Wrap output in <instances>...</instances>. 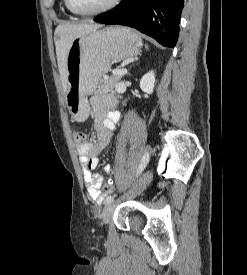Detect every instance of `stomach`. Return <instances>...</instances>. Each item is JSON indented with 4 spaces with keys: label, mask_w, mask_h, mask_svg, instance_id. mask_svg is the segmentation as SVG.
Listing matches in <instances>:
<instances>
[{
    "label": "stomach",
    "mask_w": 247,
    "mask_h": 275,
    "mask_svg": "<svg viewBox=\"0 0 247 275\" xmlns=\"http://www.w3.org/2000/svg\"><path fill=\"white\" fill-rule=\"evenodd\" d=\"M141 47L140 37L124 27H108L74 39L66 59L65 102L75 120L88 118L87 96L95 92L112 63L138 55Z\"/></svg>",
    "instance_id": "obj_1"
}]
</instances>
